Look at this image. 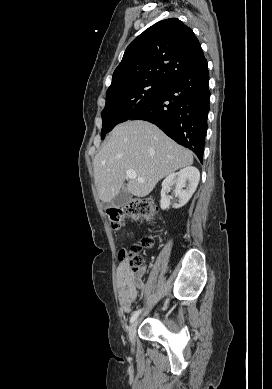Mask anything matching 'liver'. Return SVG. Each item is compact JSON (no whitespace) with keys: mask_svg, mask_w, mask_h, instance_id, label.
I'll return each mask as SVG.
<instances>
[{"mask_svg":"<svg viewBox=\"0 0 272 389\" xmlns=\"http://www.w3.org/2000/svg\"><path fill=\"white\" fill-rule=\"evenodd\" d=\"M192 164V152L155 125L141 120L127 121L111 131L96 154L94 180L100 200L108 203L120 192L125 171L134 170L137 178L127 183V190L134 196L145 197L161 179Z\"/></svg>","mask_w":272,"mask_h":389,"instance_id":"obj_1","label":"liver"}]
</instances>
